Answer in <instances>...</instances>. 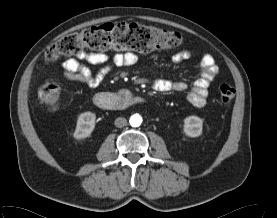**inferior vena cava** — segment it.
<instances>
[{
	"label": "inferior vena cava",
	"instance_id": "inferior-vena-cava-1",
	"mask_svg": "<svg viewBox=\"0 0 277 218\" xmlns=\"http://www.w3.org/2000/svg\"><path fill=\"white\" fill-rule=\"evenodd\" d=\"M114 124L118 128H122L127 125V120L124 117H118L115 119Z\"/></svg>",
	"mask_w": 277,
	"mask_h": 218
}]
</instances>
